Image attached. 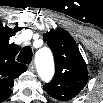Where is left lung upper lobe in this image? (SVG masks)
I'll return each mask as SVG.
<instances>
[{"label":"left lung upper lobe","mask_w":103,"mask_h":103,"mask_svg":"<svg viewBox=\"0 0 103 103\" xmlns=\"http://www.w3.org/2000/svg\"><path fill=\"white\" fill-rule=\"evenodd\" d=\"M44 41L53 51L55 76L44 90L58 100H70L85 87L88 71L78 46L65 30H51L44 35Z\"/></svg>","instance_id":"1"}]
</instances>
